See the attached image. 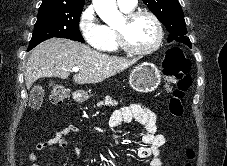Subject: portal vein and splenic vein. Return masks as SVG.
Returning <instances> with one entry per match:
<instances>
[{
	"label": "portal vein and splenic vein",
	"mask_w": 227,
	"mask_h": 166,
	"mask_svg": "<svg viewBox=\"0 0 227 166\" xmlns=\"http://www.w3.org/2000/svg\"><path fill=\"white\" fill-rule=\"evenodd\" d=\"M79 70H80V69H79L78 67H73V68H72V71H73V72H78Z\"/></svg>",
	"instance_id": "1"
}]
</instances>
